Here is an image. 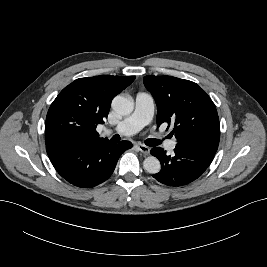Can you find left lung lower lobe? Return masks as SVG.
Returning <instances> with one entry per match:
<instances>
[{"instance_id":"obj_1","label":"left lung lower lobe","mask_w":267,"mask_h":267,"mask_svg":"<svg viewBox=\"0 0 267 267\" xmlns=\"http://www.w3.org/2000/svg\"><path fill=\"white\" fill-rule=\"evenodd\" d=\"M174 155H166L161 147L152 148L151 154L161 162L160 172L153 175L159 182L173 187L187 185L209 167L215 153L189 146H177Z\"/></svg>"}]
</instances>
